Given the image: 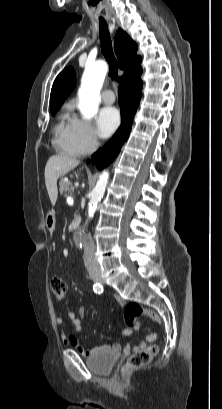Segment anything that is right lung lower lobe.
<instances>
[{"instance_id":"98d812e1","label":"right lung lower lobe","mask_w":222,"mask_h":409,"mask_svg":"<svg viewBox=\"0 0 222 409\" xmlns=\"http://www.w3.org/2000/svg\"><path fill=\"white\" fill-rule=\"evenodd\" d=\"M141 74L134 75L120 83L119 105L121 107V125L111 140L92 156L101 170L110 164L120 152L123 143L128 139L133 116L142 96Z\"/></svg>"}]
</instances>
